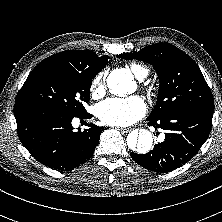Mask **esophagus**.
I'll use <instances>...</instances> for the list:
<instances>
[{
  "label": "esophagus",
  "mask_w": 222,
  "mask_h": 222,
  "mask_svg": "<svg viewBox=\"0 0 222 222\" xmlns=\"http://www.w3.org/2000/svg\"><path fill=\"white\" fill-rule=\"evenodd\" d=\"M120 131L122 133H127L128 131H130V128H120Z\"/></svg>",
  "instance_id": "34e87169"
}]
</instances>
